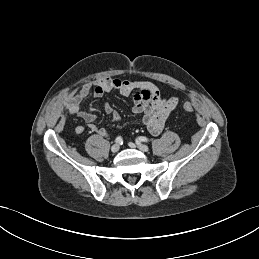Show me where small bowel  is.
<instances>
[{"instance_id":"obj_1","label":"small bowel","mask_w":259,"mask_h":259,"mask_svg":"<svg viewBox=\"0 0 259 259\" xmlns=\"http://www.w3.org/2000/svg\"><path fill=\"white\" fill-rule=\"evenodd\" d=\"M110 91H117L124 96H132L133 112L142 115L144 126L154 136L162 132L167 118L179 103L176 96L161 97L158 86L153 82L105 77L94 82H86L70 90L65 96L60 109L81 118L91 132L100 137H108L109 132L107 129L95 125L96 115L92 111L81 110V103L91 93L96 97H101ZM104 111L112 116L114 123L120 120L118 111L110 103L104 104ZM55 119V115H53L50 121L53 122ZM58 122L62 124L63 119L60 118ZM75 131L77 134L83 133L84 126H76Z\"/></svg>"}]
</instances>
